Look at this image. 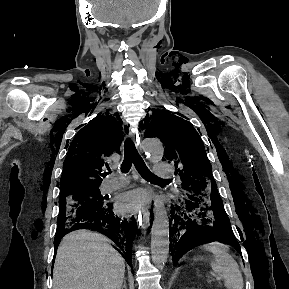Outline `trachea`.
<instances>
[{"mask_svg": "<svg viewBox=\"0 0 289 289\" xmlns=\"http://www.w3.org/2000/svg\"><path fill=\"white\" fill-rule=\"evenodd\" d=\"M132 164L135 165L139 174L145 179H156L162 180L159 177L155 176L145 165L143 159L138 154L133 141L130 138H127L124 143V160L121 164V172H129ZM108 173H105L107 175Z\"/></svg>", "mask_w": 289, "mask_h": 289, "instance_id": "obj_1", "label": "trachea"}]
</instances>
